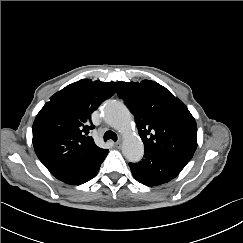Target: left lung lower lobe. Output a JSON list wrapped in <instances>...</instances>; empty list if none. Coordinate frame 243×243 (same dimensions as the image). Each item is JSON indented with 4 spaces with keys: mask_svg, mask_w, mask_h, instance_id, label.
I'll list each match as a JSON object with an SVG mask.
<instances>
[{
    "mask_svg": "<svg viewBox=\"0 0 243 243\" xmlns=\"http://www.w3.org/2000/svg\"><path fill=\"white\" fill-rule=\"evenodd\" d=\"M190 160L184 155L145 149L143 160L129 166L137 181L153 187L175 178Z\"/></svg>",
    "mask_w": 243,
    "mask_h": 243,
    "instance_id": "obj_1",
    "label": "left lung lower lobe"
}]
</instances>
